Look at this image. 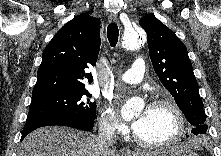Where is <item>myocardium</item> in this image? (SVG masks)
<instances>
[{
  "label": "myocardium",
  "mask_w": 221,
  "mask_h": 156,
  "mask_svg": "<svg viewBox=\"0 0 221 156\" xmlns=\"http://www.w3.org/2000/svg\"><path fill=\"white\" fill-rule=\"evenodd\" d=\"M150 107H166L170 109L173 114L175 115L177 121V127L175 133L167 140L160 141V142H148L141 139L136 132H134V139L135 141L146 148H163L170 146L183 136L185 129H186V119L181 110V108L172 100L170 99H157L150 104Z\"/></svg>",
  "instance_id": "obj_1"
}]
</instances>
